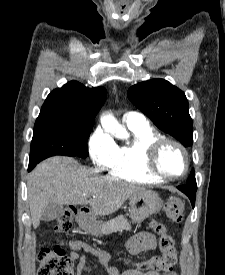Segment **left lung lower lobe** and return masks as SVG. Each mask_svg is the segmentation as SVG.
Listing matches in <instances>:
<instances>
[{
  "mask_svg": "<svg viewBox=\"0 0 225 275\" xmlns=\"http://www.w3.org/2000/svg\"><path fill=\"white\" fill-rule=\"evenodd\" d=\"M177 188L189 197L192 207H194L195 193L197 190V186H192V185L186 184V185L178 186Z\"/></svg>",
  "mask_w": 225,
  "mask_h": 275,
  "instance_id": "obj_1",
  "label": "left lung lower lobe"
}]
</instances>
